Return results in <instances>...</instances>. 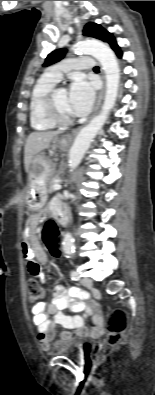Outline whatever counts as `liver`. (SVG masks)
Returning <instances> with one entry per match:
<instances>
[{"label": "liver", "instance_id": "obj_1", "mask_svg": "<svg viewBox=\"0 0 155 395\" xmlns=\"http://www.w3.org/2000/svg\"><path fill=\"white\" fill-rule=\"evenodd\" d=\"M58 134H60L59 131L33 132L28 136L24 149V166L27 173L30 172L34 157L48 148L53 138Z\"/></svg>", "mask_w": 155, "mask_h": 395}]
</instances>
